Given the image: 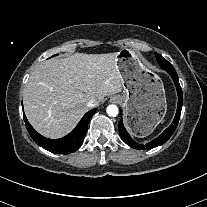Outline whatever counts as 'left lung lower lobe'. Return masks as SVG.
<instances>
[{"mask_svg": "<svg viewBox=\"0 0 207 207\" xmlns=\"http://www.w3.org/2000/svg\"><path fill=\"white\" fill-rule=\"evenodd\" d=\"M164 69L172 77V79L175 83L176 89H177V94H178V106H177V111H176L174 120L171 123V125L161 135H159L157 138H155L154 140H152L151 142H149L145 145L136 143L130 137L129 133L126 131V129L123 125V122L121 120L119 123L120 136L122 137L124 142L132 148L139 149V150L155 148V147L165 143L172 136L174 131L176 130V127H177V124H178V121H179L180 115H181L182 105H183L182 89H181V86H180V83L178 80L177 73H176L175 69L173 68V66L172 67H165ZM121 114H122V112H121Z\"/></svg>", "mask_w": 207, "mask_h": 207, "instance_id": "left-lung-lower-lobe-1", "label": "left lung lower lobe"}]
</instances>
